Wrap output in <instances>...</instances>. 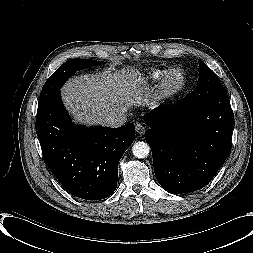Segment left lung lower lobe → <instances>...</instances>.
<instances>
[{
  "mask_svg": "<svg viewBox=\"0 0 253 253\" xmlns=\"http://www.w3.org/2000/svg\"><path fill=\"white\" fill-rule=\"evenodd\" d=\"M145 121L155 176L169 193L203 188L230 154L233 117L224 87L205 101L190 93L172 106L155 108Z\"/></svg>",
  "mask_w": 253,
  "mask_h": 253,
  "instance_id": "0a47b994",
  "label": "left lung lower lobe"
}]
</instances>
